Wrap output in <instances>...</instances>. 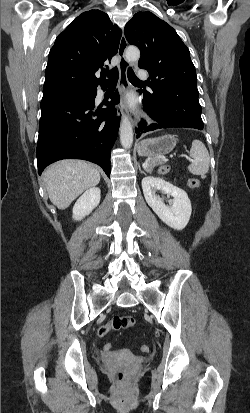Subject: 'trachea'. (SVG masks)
<instances>
[{
	"label": "trachea",
	"mask_w": 250,
	"mask_h": 413,
	"mask_svg": "<svg viewBox=\"0 0 250 413\" xmlns=\"http://www.w3.org/2000/svg\"><path fill=\"white\" fill-rule=\"evenodd\" d=\"M107 75H108V78H109V83H111V84L112 83H117L118 77H119L117 67H115L112 70L108 71ZM127 76H128L129 81L132 82V83H145L144 81H141L136 77V75H135V73H134V71L131 67L128 68Z\"/></svg>",
	"instance_id": "3493384b"
}]
</instances>
